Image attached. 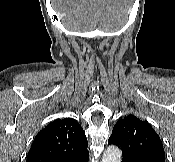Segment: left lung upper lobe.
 Masks as SVG:
<instances>
[{"label": "left lung upper lobe", "instance_id": "5c2ea615", "mask_svg": "<svg viewBox=\"0 0 175 162\" xmlns=\"http://www.w3.org/2000/svg\"><path fill=\"white\" fill-rule=\"evenodd\" d=\"M108 143L122 150V162H137L146 158L165 160L160 137L149 123L133 115L125 116L115 124Z\"/></svg>", "mask_w": 175, "mask_h": 162}]
</instances>
